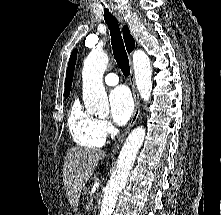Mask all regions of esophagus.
Returning <instances> with one entry per match:
<instances>
[{"mask_svg":"<svg viewBox=\"0 0 221 215\" xmlns=\"http://www.w3.org/2000/svg\"><path fill=\"white\" fill-rule=\"evenodd\" d=\"M115 15L117 16L118 20L121 23H123L122 15H121V13L118 10H115ZM129 79H130V84H131V88H132L133 98H134V102H135V109H134V112L132 114V117L130 119V122H129L128 126L126 127L125 131L118 138V141H117V143L115 145V148H114V152L119 149V147L123 143L124 139L126 138V136L128 135V133L130 132L132 127L135 125L137 119L140 116L141 104H140L139 94H138V91H137V88H136V84H135L134 69H133L132 63H130V77H129Z\"/></svg>","mask_w":221,"mask_h":215,"instance_id":"34e87169","label":"esophagus"}]
</instances>
